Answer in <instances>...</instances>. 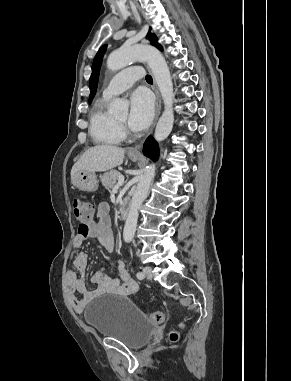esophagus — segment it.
Instances as JSON below:
<instances>
[{
    "label": "esophagus",
    "instance_id": "esophagus-1",
    "mask_svg": "<svg viewBox=\"0 0 291 381\" xmlns=\"http://www.w3.org/2000/svg\"><path fill=\"white\" fill-rule=\"evenodd\" d=\"M149 71H150V69H149ZM153 90H154L155 95H156V114H155L154 123H153L152 128L149 131L148 135L151 134V132H152V130H153L157 120H158V117H159L160 112H161V107H162V101H161L160 92L158 90L157 83H156L154 77H153ZM143 142H144V140H142L138 145L130 147L128 152L131 153V154L140 155V148H141V145H142Z\"/></svg>",
    "mask_w": 291,
    "mask_h": 381
}]
</instances>
